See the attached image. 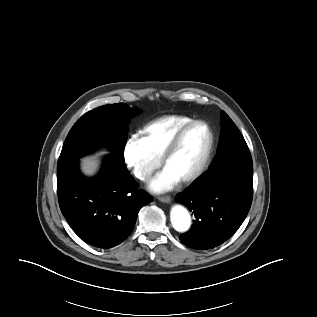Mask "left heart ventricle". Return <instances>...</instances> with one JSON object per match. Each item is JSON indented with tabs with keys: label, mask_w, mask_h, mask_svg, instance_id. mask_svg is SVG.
Here are the masks:
<instances>
[{
	"label": "left heart ventricle",
	"mask_w": 317,
	"mask_h": 317,
	"mask_svg": "<svg viewBox=\"0 0 317 317\" xmlns=\"http://www.w3.org/2000/svg\"><path fill=\"white\" fill-rule=\"evenodd\" d=\"M209 141L207 129L203 125L192 127L184 136L175 155L169 160V168L179 179L191 174L200 163Z\"/></svg>",
	"instance_id": "obj_1"
}]
</instances>
